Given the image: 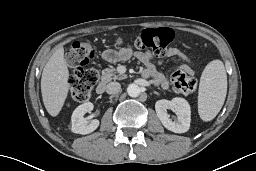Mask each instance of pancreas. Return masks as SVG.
<instances>
[{
    "mask_svg": "<svg viewBox=\"0 0 256 171\" xmlns=\"http://www.w3.org/2000/svg\"><path fill=\"white\" fill-rule=\"evenodd\" d=\"M126 77L125 74H117L114 68H106L102 71L101 81L107 83L111 80H122Z\"/></svg>",
    "mask_w": 256,
    "mask_h": 171,
    "instance_id": "obj_1",
    "label": "pancreas"
}]
</instances>
